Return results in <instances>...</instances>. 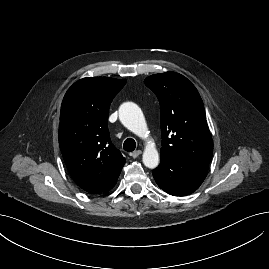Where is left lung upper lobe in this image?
<instances>
[{
	"instance_id": "left-lung-upper-lobe-1",
	"label": "left lung upper lobe",
	"mask_w": 269,
	"mask_h": 269,
	"mask_svg": "<svg viewBox=\"0 0 269 269\" xmlns=\"http://www.w3.org/2000/svg\"><path fill=\"white\" fill-rule=\"evenodd\" d=\"M144 83L160 102V154L175 155L209 165L213 141L204 105L195 86L175 72L151 75Z\"/></svg>"
}]
</instances>
